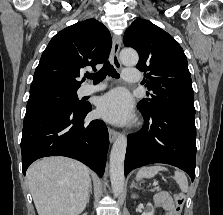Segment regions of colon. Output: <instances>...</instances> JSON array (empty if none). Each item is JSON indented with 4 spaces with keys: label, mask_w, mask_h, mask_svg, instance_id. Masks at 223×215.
<instances>
[{
    "label": "colon",
    "mask_w": 223,
    "mask_h": 215,
    "mask_svg": "<svg viewBox=\"0 0 223 215\" xmlns=\"http://www.w3.org/2000/svg\"><path fill=\"white\" fill-rule=\"evenodd\" d=\"M175 206L172 210H170L167 215H179L180 211L182 210L184 203L186 201V196L182 192H178L175 197Z\"/></svg>",
    "instance_id": "1"
}]
</instances>
